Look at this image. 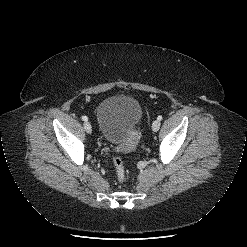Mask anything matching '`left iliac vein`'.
Segmentation results:
<instances>
[{
    "instance_id": "4c4485c4",
    "label": "left iliac vein",
    "mask_w": 247,
    "mask_h": 247,
    "mask_svg": "<svg viewBox=\"0 0 247 247\" xmlns=\"http://www.w3.org/2000/svg\"><path fill=\"white\" fill-rule=\"evenodd\" d=\"M160 121L159 120H155L153 123H152V129L154 132H157L160 128Z\"/></svg>"
}]
</instances>
